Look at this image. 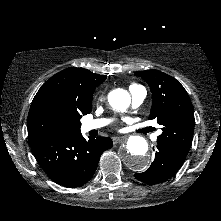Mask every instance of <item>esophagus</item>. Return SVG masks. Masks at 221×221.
I'll return each instance as SVG.
<instances>
[{"label":"esophagus","instance_id":"obj_1","mask_svg":"<svg viewBox=\"0 0 221 221\" xmlns=\"http://www.w3.org/2000/svg\"><path fill=\"white\" fill-rule=\"evenodd\" d=\"M127 139L126 136H120V137H113V143L114 145L120 144L122 142H125Z\"/></svg>","mask_w":221,"mask_h":221}]
</instances>
